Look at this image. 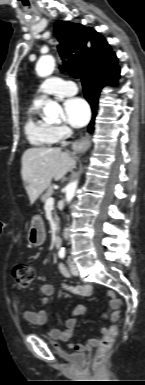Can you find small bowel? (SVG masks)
Returning <instances> with one entry per match:
<instances>
[{"mask_svg": "<svg viewBox=\"0 0 145 385\" xmlns=\"http://www.w3.org/2000/svg\"><path fill=\"white\" fill-rule=\"evenodd\" d=\"M58 271L65 278H70V272L63 264H58ZM74 294L79 296H90L92 293V286L89 284H80L78 286L72 287ZM41 306L37 311L25 310L23 312V316L27 322L30 324L43 327L48 319L47 305L49 302V298L54 294V287L50 284H44L41 287ZM107 294L111 297V306L112 310L105 314V317H108L110 321L114 322L119 318V307L121 306V300L115 295L114 290H107ZM86 312V308L83 305H77L72 311L71 316L65 321L64 330L57 329H47L43 328V332L49 337L66 342L68 341L75 327L78 323L79 316L84 315ZM109 327L104 325L101 327L100 332L102 335H106L108 333ZM100 339L92 338L87 340L84 344H75L70 343L68 347L73 349L76 352H84L85 350L98 345Z\"/></svg>", "mask_w": 145, "mask_h": 385, "instance_id": "1", "label": "small bowel"}]
</instances>
